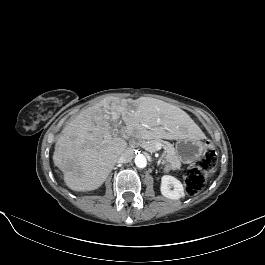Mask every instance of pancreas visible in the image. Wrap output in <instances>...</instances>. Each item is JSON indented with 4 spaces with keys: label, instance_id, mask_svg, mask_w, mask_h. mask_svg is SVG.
<instances>
[{
    "label": "pancreas",
    "instance_id": "obj_1",
    "mask_svg": "<svg viewBox=\"0 0 265 265\" xmlns=\"http://www.w3.org/2000/svg\"><path fill=\"white\" fill-rule=\"evenodd\" d=\"M140 145L146 151L151 152V153L156 151L157 145H160L164 149V151L166 153V161L168 163H170L171 168L173 170H176V169L180 168L181 163H180V161H179V159H178V157L176 155L175 148L169 142L163 141L161 139L156 138V139H152L150 141L143 140V141L140 142Z\"/></svg>",
    "mask_w": 265,
    "mask_h": 265
}]
</instances>
